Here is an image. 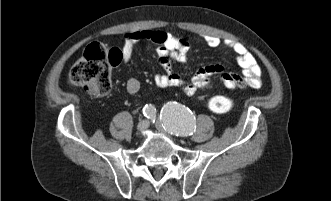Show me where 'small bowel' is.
<instances>
[{
    "label": "small bowel",
    "instance_id": "small-bowel-1",
    "mask_svg": "<svg viewBox=\"0 0 331 201\" xmlns=\"http://www.w3.org/2000/svg\"><path fill=\"white\" fill-rule=\"evenodd\" d=\"M204 43L211 48L224 46L230 49L235 55L238 65L242 68L243 75L227 72L222 66L208 65L201 67L191 81H185L172 67L177 61L185 63L187 52L190 49V42L182 36L173 35L159 30H140L126 33L123 37L121 61L128 63L131 59L134 46L140 42H152L158 45L157 54L162 73L156 74L155 83L160 87H179L186 95H193L199 89L209 88L212 85V78L218 77L220 82L228 89L234 88H259L261 86V67L254 55L242 43L233 40H221L218 37L205 35ZM141 87L137 78H130L126 83V90L129 94L135 95Z\"/></svg>",
    "mask_w": 331,
    "mask_h": 201
}]
</instances>
